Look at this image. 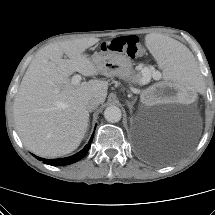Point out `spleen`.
I'll list each match as a JSON object with an SVG mask.
<instances>
[{
  "mask_svg": "<svg viewBox=\"0 0 215 215\" xmlns=\"http://www.w3.org/2000/svg\"><path fill=\"white\" fill-rule=\"evenodd\" d=\"M146 45L159 66L164 68L167 81L184 84L191 94L202 91L203 82L198 74V64L182 44L169 38L148 36Z\"/></svg>",
  "mask_w": 215,
  "mask_h": 215,
  "instance_id": "spleen-1",
  "label": "spleen"
}]
</instances>
